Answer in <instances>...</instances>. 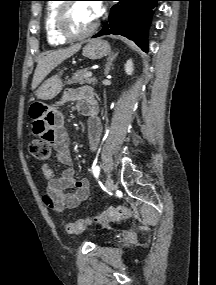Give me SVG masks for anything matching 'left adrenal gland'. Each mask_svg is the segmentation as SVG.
Instances as JSON below:
<instances>
[{
    "label": "left adrenal gland",
    "mask_w": 216,
    "mask_h": 285,
    "mask_svg": "<svg viewBox=\"0 0 216 285\" xmlns=\"http://www.w3.org/2000/svg\"><path fill=\"white\" fill-rule=\"evenodd\" d=\"M118 53H111L108 58H107V62L105 64V69H104V74L108 75L110 68L112 66V63L114 62L115 58L117 57Z\"/></svg>",
    "instance_id": "a2214340"
}]
</instances>
